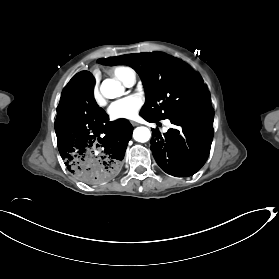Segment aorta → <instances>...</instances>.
Listing matches in <instances>:
<instances>
[{
  "instance_id": "1",
  "label": "aorta",
  "mask_w": 279,
  "mask_h": 279,
  "mask_svg": "<svg viewBox=\"0 0 279 279\" xmlns=\"http://www.w3.org/2000/svg\"><path fill=\"white\" fill-rule=\"evenodd\" d=\"M101 93L108 99L120 97L124 93V87L120 82L113 79H105L100 87ZM133 137L136 141L145 143L151 137V132L147 127H137L133 131Z\"/></svg>"
}]
</instances>
